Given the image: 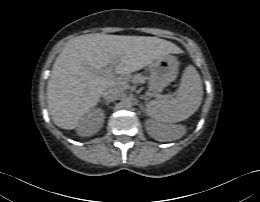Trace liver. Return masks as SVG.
<instances>
[{"mask_svg":"<svg viewBox=\"0 0 260 202\" xmlns=\"http://www.w3.org/2000/svg\"><path fill=\"white\" fill-rule=\"evenodd\" d=\"M178 51L175 44L157 37L101 33L75 37L56 58L48 81L47 102L52 120L63 129H75L105 90L120 87L121 76L105 77L96 71L114 63L116 74H130Z\"/></svg>","mask_w":260,"mask_h":202,"instance_id":"1","label":"liver"}]
</instances>
